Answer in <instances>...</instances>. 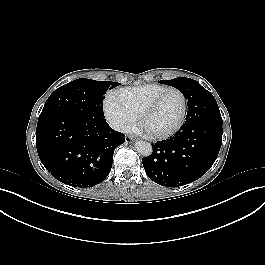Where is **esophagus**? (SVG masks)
Listing matches in <instances>:
<instances>
[{
  "instance_id": "esophagus-1",
  "label": "esophagus",
  "mask_w": 265,
  "mask_h": 265,
  "mask_svg": "<svg viewBox=\"0 0 265 265\" xmlns=\"http://www.w3.org/2000/svg\"><path fill=\"white\" fill-rule=\"evenodd\" d=\"M130 140H135L136 138L134 136L129 137Z\"/></svg>"
}]
</instances>
